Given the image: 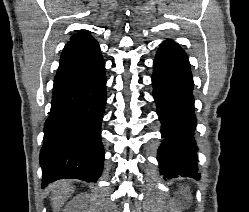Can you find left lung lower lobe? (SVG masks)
Masks as SVG:
<instances>
[{"label":"left lung lower lobe","mask_w":249,"mask_h":212,"mask_svg":"<svg viewBox=\"0 0 249 212\" xmlns=\"http://www.w3.org/2000/svg\"><path fill=\"white\" fill-rule=\"evenodd\" d=\"M153 97L161 121L162 141L158 150L160 172L200 179L194 142L196 118L192 95L193 78L186 53L173 41H165L154 60Z\"/></svg>","instance_id":"0a47b994"}]
</instances>
